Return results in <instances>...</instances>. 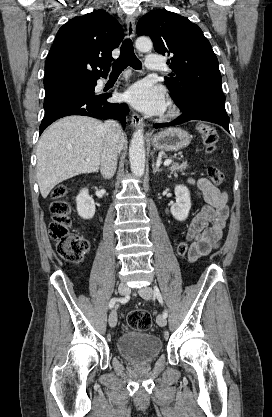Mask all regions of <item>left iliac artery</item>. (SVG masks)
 Here are the masks:
<instances>
[{"mask_svg":"<svg viewBox=\"0 0 272 417\" xmlns=\"http://www.w3.org/2000/svg\"><path fill=\"white\" fill-rule=\"evenodd\" d=\"M154 295L158 299V301L163 305V298L157 286H154ZM167 316H168V312L167 310H164L163 317L166 318Z\"/></svg>","mask_w":272,"mask_h":417,"instance_id":"left-iliac-artery-1","label":"left iliac artery"}]
</instances>
